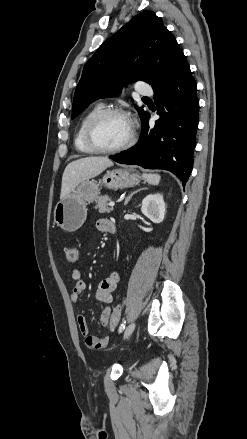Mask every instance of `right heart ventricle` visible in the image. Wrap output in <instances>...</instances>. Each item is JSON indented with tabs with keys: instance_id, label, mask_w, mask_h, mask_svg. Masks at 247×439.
Returning <instances> with one entry per match:
<instances>
[{
	"instance_id": "right-heart-ventricle-1",
	"label": "right heart ventricle",
	"mask_w": 247,
	"mask_h": 439,
	"mask_svg": "<svg viewBox=\"0 0 247 439\" xmlns=\"http://www.w3.org/2000/svg\"><path fill=\"white\" fill-rule=\"evenodd\" d=\"M103 110V106L98 104L92 107L89 111L85 113L82 119L79 122L77 130L74 135V146L77 151L83 154H93L95 153L86 143L85 141V128L89 120L99 111Z\"/></svg>"
}]
</instances>
